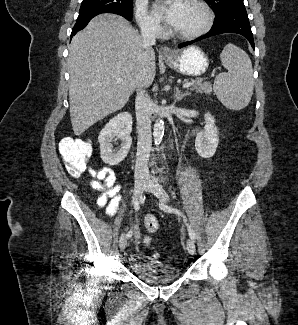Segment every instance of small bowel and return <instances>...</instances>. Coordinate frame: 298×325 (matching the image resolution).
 Wrapping results in <instances>:
<instances>
[{
  "mask_svg": "<svg viewBox=\"0 0 298 325\" xmlns=\"http://www.w3.org/2000/svg\"><path fill=\"white\" fill-rule=\"evenodd\" d=\"M92 180L90 186L101 192L97 198V205L105 208L108 216L116 214L121 203V187L117 182L115 172L109 167L91 170Z\"/></svg>",
  "mask_w": 298,
  "mask_h": 325,
  "instance_id": "1",
  "label": "small bowel"
}]
</instances>
